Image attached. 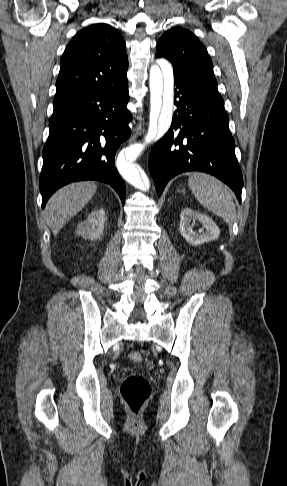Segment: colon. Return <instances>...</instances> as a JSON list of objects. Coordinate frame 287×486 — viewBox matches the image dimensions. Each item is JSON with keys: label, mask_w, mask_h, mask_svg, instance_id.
<instances>
[{"label": "colon", "mask_w": 287, "mask_h": 486, "mask_svg": "<svg viewBox=\"0 0 287 486\" xmlns=\"http://www.w3.org/2000/svg\"><path fill=\"white\" fill-rule=\"evenodd\" d=\"M128 358L133 363H141L143 356L138 351H132ZM152 393V387L149 379L141 373L128 375L121 383L120 395L124 404L137 416L144 408Z\"/></svg>", "instance_id": "colon-1"}]
</instances>
